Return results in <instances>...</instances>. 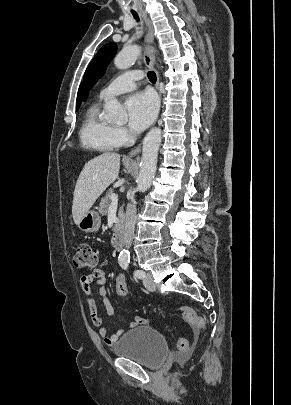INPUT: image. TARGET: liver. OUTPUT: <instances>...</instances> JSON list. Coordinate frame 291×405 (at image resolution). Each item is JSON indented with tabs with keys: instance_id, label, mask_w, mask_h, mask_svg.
Wrapping results in <instances>:
<instances>
[{
	"instance_id": "6515ba94",
	"label": "liver",
	"mask_w": 291,
	"mask_h": 405,
	"mask_svg": "<svg viewBox=\"0 0 291 405\" xmlns=\"http://www.w3.org/2000/svg\"><path fill=\"white\" fill-rule=\"evenodd\" d=\"M120 155L105 152L88 161L75 185L72 215L76 225L93 206L98 197L118 177Z\"/></svg>"
}]
</instances>
